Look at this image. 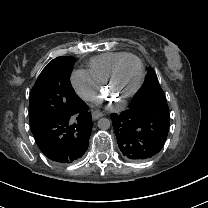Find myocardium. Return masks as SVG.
<instances>
[{"instance_id":"1","label":"myocardium","mask_w":208,"mask_h":208,"mask_svg":"<svg viewBox=\"0 0 208 208\" xmlns=\"http://www.w3.org/2000/svg\"><path fill=\"white\" fill-rule=\"evenodd\" d=\"M127 58H133L138 62L139 67H140V79H139L136 87L130 93L126 94L122 98H115V100L117 102H119L121 105L125 104L129 99L134 97L140 91V89L142 88L144 80H145V68H144L143 61L138 56H136L135 54L127 53L126 55H124L123 57L118 59L113 64V66L111 67V69H110L109 73L107 74L106 78L101 83V89H102L103 94H109V85L113 81L115 72H116L117 68L119 67V65L121 64V62L123 60L127 59Z\"/></svg>"}]
</instances>
